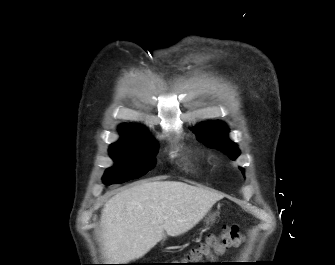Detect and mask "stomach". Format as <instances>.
<instances>
[{
	"instance_id": "stomach-1",
	"label": "stomach",
	"mask_w": 335,
	"mask_h": 265,
	"mask_svg": "<svg viewBox=\"0 0 335 265\" xmlns=\"http://www.w3.org/2000/svg\"><path fill=\"white\" fill-rule=\"evenodd\" d=\"M214 220V215L209 216V218H207L206 222L209 223L210 221Z\"/></svg>"
}]
</instances>
